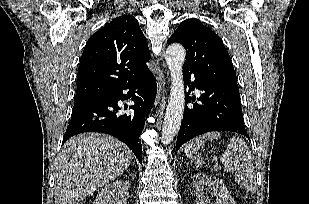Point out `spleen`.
<instances>
[{
  "label": "spleen",
  "instance_id": "spleen-1",
  "mask_svg": "<svg viewBox=\"0 0 309 204\" xmlns=\"http://www.w3.org/2000/svg\"><path fill=\"white\" fill-rule=\"evenodd\" d=\"M220 133L210 132L187 143L185 154L189 159L195 161L199 167L203 163V159L197 154V150L203 147L206 141L218 139ZM221 162L235 170V179L237 183L247 192L254 193L256 191V168L254 158L245 141L239 137H232L226 151L221 155Z\"/></svg>",
  "mask_w": 309,
  "mask_h": 204
}]
</instances>
